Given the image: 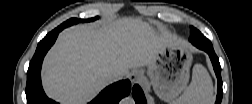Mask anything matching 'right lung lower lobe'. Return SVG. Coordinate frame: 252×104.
Listing matches in <instances>:
<instances>
[{"label": "right lung lower lobe", "instance_id": "98d812e1", "mask_svg": "<svg viewBox=\"0 0 252 104\" xmlns=\"http://www.w3.org/2000/svg\"><path fill=\"white\" fill-rule=\"evenodd\" d=\"M63 28L57 27L48 33L38 44L36 52L29 64L27 71L26 98L28 104H57L45 95L41 84V65L43 58L54 44L58 33ZM131 91V82L123 80L105 88L90 104H117Z\"/></svg>", "mask_w": 252, "mask_h": 104}]
</instances>
